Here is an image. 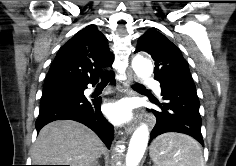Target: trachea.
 <instances>
[{
	"instance_id": "obj_1",
	"label": "trachea",
	"mask_w": 236,
	"mask_h": 166,
	"mask_svg": "<svg viewBox=\"0 0 236 166\" xmlns=\"http://www.w3.org/2000/svg\"><path fill=\"white\" fill-rule=\"evenodd\" d=\"M107 83H108V80L102 79L100 85H107ZM133 87H134L135 89H144V86H142V85H134Z\"/></svg>"
}]
</instances>
